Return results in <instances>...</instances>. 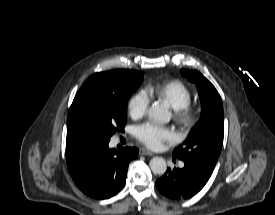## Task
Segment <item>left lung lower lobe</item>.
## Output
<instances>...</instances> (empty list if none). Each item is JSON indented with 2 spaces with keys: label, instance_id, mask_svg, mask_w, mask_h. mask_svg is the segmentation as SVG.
Segmentation results:
<instances>
[{
  "label": "left lung lower lobe",
  "instance_id": "obj_1",
  "mask_svg": "<svg viewBox=\"0 0 275 215\" xmlns=\"http://www.w3.org/2000/svg\"><path fill=\"white\" fill-rule=\"evenodd\" d=\"M183 168L167 169L156 181L159 192L169 199L185 200L196 195L209 180L212 171L191 163Z\"/></svg>",
  "mask_w": 275,
  "mask_h": 215
}]
</instances>
